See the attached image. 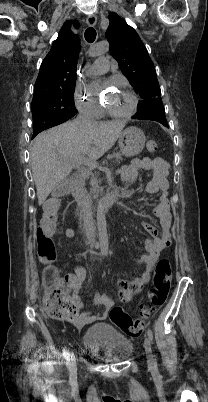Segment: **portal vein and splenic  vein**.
Listing matches in <instances>:
<instances>
[{
  "mask_svg": "<svg viewBox=\"0 0 208 402\" xmlns=\"http://www.w3.org/2000/svg\"><path fill=\"white\" fill-rule=\"evenodd\" d=\"M112 157L115 158L116 160L114 161L115 165L119 164V161L121 159V156L118 155L117 153H113ZM79 160L80 162H77V164H84V166H89V170H93V168H98V164L96 162V160H91V158H84V156H79ZM77 164H75V166H77ZM108 174H110V172H108Z\"/></svg>",
  "mask_w": 208,
  "mask_h": 402,
  "instance_id": "portal-vein-and-splenic-vein-1",
  "label": "portal vein and splenic vein"
}]
</instances>
